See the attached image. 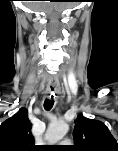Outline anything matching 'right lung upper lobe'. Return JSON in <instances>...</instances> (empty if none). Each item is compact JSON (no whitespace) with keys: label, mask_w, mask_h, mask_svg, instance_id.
<instances>
[{"label":"right lung upper lobe","mask_w":118,"mask_h":151,"mask_svg":"<svg viewBox=\"0 0 118 151\" xmlns=\"http://www.w3.org/2000/svg\"><path fill=\"white\" fill-rule=\"evenodd\" d=\"M27 110L21 108L0 125V151H32L35 149Z\"/></svg>","instance_id":"obj_1"}]
</instances>
